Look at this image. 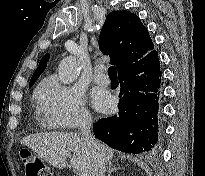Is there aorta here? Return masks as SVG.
<instances>
[{
    "mask_svg": "<svg viewBox=\"0 0 205 176\" xmlns=\"http://www.w3.org/2000/svg\"><path fill=\"white\" fill-rule=\"evenodd\" d=\"M78 67L79 65L74 57L69 56L63 59L58 67L60 82L63 84L74 82L79 74Z\"/></svg>",
    "mask_w": 205,
    "mask_h": 176,
    "instance_id": "1",
    "label": "aorta"
}]
</instances>
